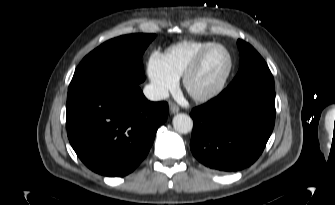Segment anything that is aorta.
Instances as JSON below:
<instances>
[{"label":"aorta","instance_id":"aorta-1","mask_svg":"<svg viewBox=\"0 0 335 205\" xmlns=\"http://www.w3.org/2000/svg\"><path fill=\"white\" fill-rule=\"evenodd\" d=\"M174 129L182 134L189 133L193 128V120L187 114L179 113L172 121Z\"/></svg>","mask_w":335,"mask_h":205}]
</instances>
